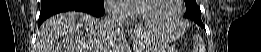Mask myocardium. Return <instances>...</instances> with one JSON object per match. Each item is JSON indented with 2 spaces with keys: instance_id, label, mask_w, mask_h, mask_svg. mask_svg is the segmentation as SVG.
Instances as JSON below:
<instances>
[{
  "instance_id": "obj_1",
  "label": "myocardium",
  "mask_w": 261,
  "mask_h": 52,
  "mask_svg": "<svg viewBox=\"0 0 261 52\" xmlns=\"http://www.w3.org/2000/svg\"><path fill=\"white\" fill-rule=\"evenodd\" d=\"M142 1H149V0H139V1H135L133 3L135 13L137 15V19L142 22L151 23V24H167V23L175 21L182 12L183 0H176V10L171 16H169L167 18H163V19L150 17V16H147V15H144L143 13H141L140 3Z\"/></svg>"
}]
</instances>
